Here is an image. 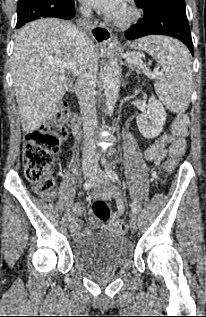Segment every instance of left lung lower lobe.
Listing matches in <instances>:
<instances>
[{
  "mask_svg": "<svg viewBox=\"0 0 206 317\" xmlns=\"http://www.w3.org/2000/svg\"><path fill=\"white\" fill-rule=\"evenodd\" d=\"M152 34L168 35L177 38L194 55L191 33L185 12L173 9H157L144 12V17L128 29L125 37L127 40H133Z\"/></svg>",
  "mask_w": 206,
  "mask_h": 317,
  "instance_id": "obj_1",
  "label": "left lung lower lobe"
}]
</instances>
